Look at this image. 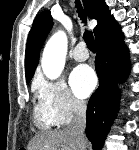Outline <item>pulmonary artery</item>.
<instances>
[{
	"mask_svg": "<svg viewBox=\"0 0 139 150\" xmlns=\"http://www.w3.org/2000/svg\"><path fill=\"white\" fill-rule=\"evenodd\" d=\"M73 58L76 61H85L89 58V52L84 43H79L73 51Z\"/></svg>",
	"mask_w": 139,
	"mask_h": 150,
	"instance_id": "obj_1",
	"label": "pulmonary artery"
}]
</instances>
